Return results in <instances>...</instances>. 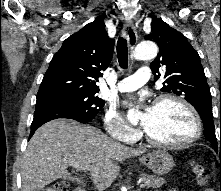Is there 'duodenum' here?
<instances>
[{"mask_svg":"<svg viewBox=\"0 0 221 191\" xmlns=\"http://www.w3.org/2000/svg\"><path fill=\"white\" fill-rule=\"evenodd\" d=\"M75 191H85V189H84L83 187H77V188L75 189Z\"/></svg>","mask_w":221,"mask_h":191,"instance_id":"obj_1","label":"duodenum"}]
</instances>
